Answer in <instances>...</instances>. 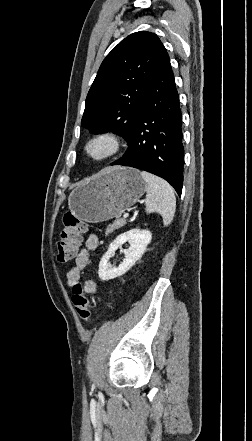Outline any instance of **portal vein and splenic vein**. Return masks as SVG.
Returning a JSON list of instances; mask_svg holds the SVG:
<instances>
[{"label":"portal vein and splenic vein","mask_w":252,"mask_h":441,"mask_svg":"<svg viewBox=\"0 0 252 441\" xmlns=\"http://www.w3.org/2000/svg\"><path fill=\"white\" fill-rule=\"evenodd\" d=\"M129 217V214L128 213H125L124 215H123V218L124 219H127Z\"/></svg>","instance_id":"portal-vein-and-splenic-vein-1"}]
</instances>
